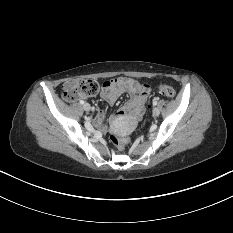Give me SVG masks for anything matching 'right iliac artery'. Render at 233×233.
I'll list each match as a JSON object with an SVG mask.
<instances>
[{"label":"right iliac artery","mask_w":233,"mask_h":233,"mask_svg":"<svg viewBox=\"0 0 233 233\" xmlns=\"http://www.w3.org/2000/svg\"><path fill=\"white\" fill-rule=\"evenodd\" d=\"M80 104H84V101H83V100H80Z\"/></svg>","instance_id":"right-iliac-artery-1"}]
</instances>
